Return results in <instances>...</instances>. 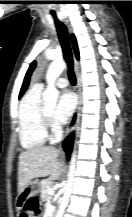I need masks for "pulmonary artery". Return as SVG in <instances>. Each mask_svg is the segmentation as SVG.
Instances as JSON below:
<instances>
[{
    "instance_id": "pulmonary-artery-1",
    "label": "pulmonary artery",
    "mask_w": 132,
    "mask_h": 217,
    "mask_svg": "<svg viewBox=\"0 0 132 217\" xmlns=\"http://www.w3.org/2000/svg\"><path fill=\"white\" fill-rule=\"evenodd\" d=\"M56 85L60 88H64L68 85V81L65 79V78H59L57 81H56ZM40 87H42L43 85L40 84L39 85Z\"/></svg>"
}]
</instances>
